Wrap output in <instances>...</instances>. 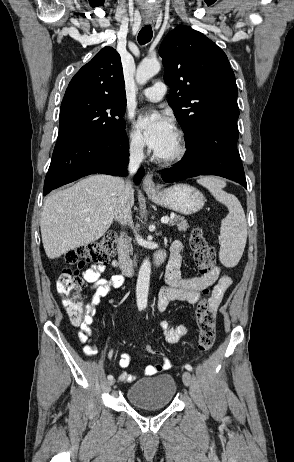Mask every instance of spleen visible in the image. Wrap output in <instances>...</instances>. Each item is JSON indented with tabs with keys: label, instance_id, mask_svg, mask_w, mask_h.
I'll return each mask as SVG.
<instances>
[{
	"label": "spleen",
	"instance_id": "1",
	"mask_svg": "<svg viewBox=\"0 0 294 462\" xmlns=\"http://www.w3.org/2000/svg\"><path fill=\"white\" fill-rule=\"evenodd\" d=\"M197 182L229 210L221 222L219 260L226 267H234L243 254L247 240V223L241 203L234 195L223 191L226 183L217 177L205 176Z\"/></svg>",
	"mask_w": 294,
	"mask_h": 462
}]
</instances>
